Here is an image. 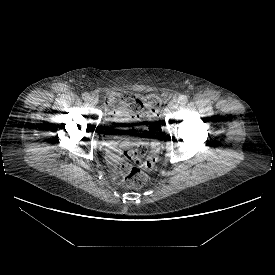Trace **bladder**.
<instances>
[{"instance_id":"31cf9c89","label":"bladder","mask_w":275,"mask_h":275,"mask_svg":"<svg viewBox=\"0 0 275 275\" xmlns=\"http://www.w3.org/2000/svg\"><path fill=\"white\" fill-rule=\"evenodd\" d=\"M114 122H116V120H114L113 118H111V117H108V118H106L105 119V123L107 124V125H113V123Z\"/></svg>"}]
</instances>
